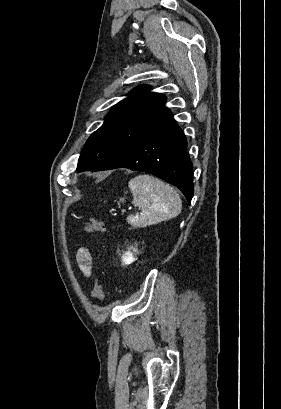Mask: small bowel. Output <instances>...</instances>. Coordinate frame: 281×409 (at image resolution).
<instances>
[{"instance_id": "c3829d8e", "label": "small bowel", "mask_w": 281, "mask_h": 409, "mask_svg": "<svg viewBox=\"0 0 281 409\" xmlns=\"http://www.w3.org/2000/svg\"><path fill=\"white\" fill-rule=\"evenodd\" d=\"M76 261L80 271L89 276L92 270V256L89 250L85 247H79L76 252Z\"/></svg>"}]
</instances>
